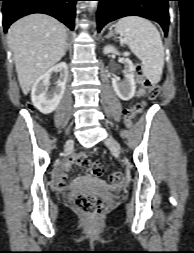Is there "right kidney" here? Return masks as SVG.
Masks as SVG:
<instances>
[{
    "label": "right kidney",
    "instance_id": "right-kidney-1",
    "mask_svg": "<svg viewBox=\"0 0 194 253\" xmlns=\"http://www.w3.org/2000/svg\"><path fill=\"white\" fill-rule=\"evenodd\" d=\"M53 73H60L57 85L49 91L50 78ZM68 79V66L61 62L41 75L34 83L31 91L33 105L43 114L52 113L59 105Z\"/></svg>",
    "mask_w": 194,
    "mask_h": 253
}]
</instances>
